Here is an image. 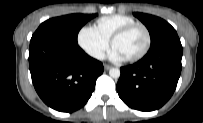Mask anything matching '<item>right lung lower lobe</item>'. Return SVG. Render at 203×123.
<instances>
[{
    "instance_id": "1",
    "label": "right lung lower lobe",
    "mask_w": 203,
    "mask_h": 123,
    "mask_svg": "<svg viewBox=\"0 0 203 123\" xmlns=\"http://www.w3.org/2000/svg\"><path fill=\"white\" fill-rule=\"evenodd\" d=\"M29 68L39 97L60 112H73L89 100L103 65L78 45L30 41Z\"/></svg>"
}]
</instances>
